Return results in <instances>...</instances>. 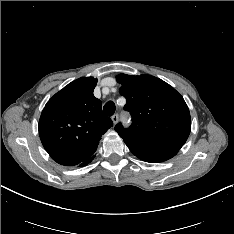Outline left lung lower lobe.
<instances>
[{"instance_id":"1","label":"left lung lower lobe","mask_w":234,"mask_h":234,"mask_svg":"<svg viewBox=\"0 0 234 234\" xmlns=\"http://www.w3.org/2000/svg\"><path fill=\"white\" fill-rule=\"evenodd\" d=\"M127 146L135 156L143 161L151 163L166 161L175 156L178 152L177 150L147 149L131 145Z\"/></svg>"}]
</instances>
